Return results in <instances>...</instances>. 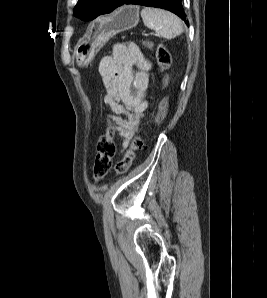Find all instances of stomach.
Listing matches in <instances>:
<instances>
[{"label": "stomach", "instance_id": "0dacf381", "mask_svg": "<svg viewBox=\"0 0 267 298\" xmlns=\"http://www.w3.org/2000/svg\"><path fill=\"white\" fill-rule=\"evenodd\" d=\"M139 22V7L124 5L102 17L75 49L79 66L88 65L101 47L114 35L134 28Z\"/></svg>", "mask_w": 267, "mask_h": 298}]
</instances>
